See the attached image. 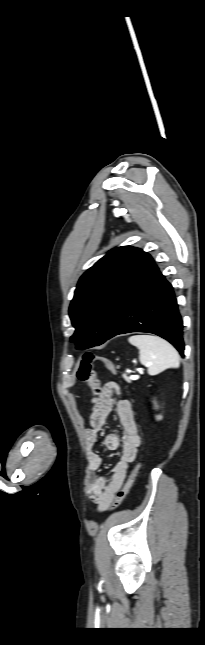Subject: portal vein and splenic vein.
I'll return each mask as SVG.
<instances>
[{"instance_id":"1","label":"portal vein and splenic vein","mask_w":205,"mask_h":645,"mask_svg":"<svg viewBox=\"0 0 205 645\" xmlns=\"http://www.w3.org/2000/svg\"><path fill=\"white\" fill-rule=\"evenodd\" d=\"M131 378H132V379H137V377H136V376H131Z\"/></svg>"}]
</instances>
